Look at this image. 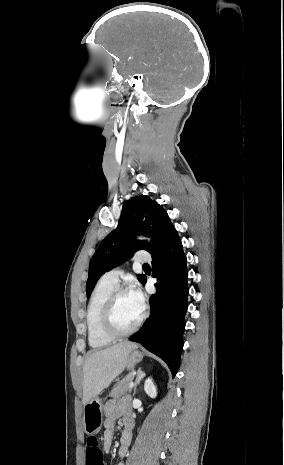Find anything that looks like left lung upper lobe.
Wrapping results in <instances>:
<instances>
[{
    "label": "left lung upper lobe",
    "instance_id": "5c2ea615",
    "mask_svg": "<svg viewBox=\"0 0 284 465\" xmlns=\"http://www.w3.org/2000/svg\"><path fill=\"white\" fill-rule=\"evenodd\" d=\"M175 230L164 208L149 196H136L126 201L116 229L102 241L91 259L86 283L87 297L105 272L122 264L137 250L156 254ZM136 234L151 236L155 246L134 240ZM145 277L138 275L140 282Z\"/></svg>",
    "mask_w": 284,
    "mask_h": 465
}]
</instances>
